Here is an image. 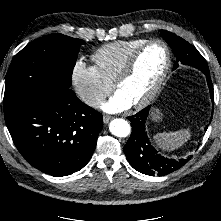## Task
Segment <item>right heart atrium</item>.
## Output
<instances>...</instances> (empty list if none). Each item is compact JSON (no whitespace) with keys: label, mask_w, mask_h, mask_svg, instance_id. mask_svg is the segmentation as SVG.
Instances as JSON below:
<instances>
[{"label":"right heart atrium","mask_w":221,"mask_h":221,"mask_svg":"<svg viewBox=\"0 0 221 221\" xmlns=\"http://www.w3.org/2000/svg\"><path fill=\"white\" fill-rule=\"evenodd\" d=\"M72 84L78 97L89 106L99 104L112 90L95 65L78 60L72 69Z\"/></svg>","instance_id":"obj_1"}]
</instances>
